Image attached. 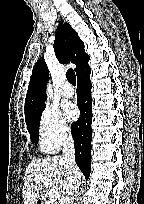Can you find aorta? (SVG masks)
<instances>
[{
	"label": "aorta",
	"mask_w": 144,
	"mask_h": 204,
	"mask_svg": "<svg viewBox=\"0 0 144 204\" xmlns=\"http://www.w3.org/2000/svg\"><path fill=\"white\" fill-rule=\"evenodd\" d=\"M50 92H51V88L48 87V88H47V93L49 94Z\"/></svg>",
	"instance_id": "762f6f07"
}]
</instances>
